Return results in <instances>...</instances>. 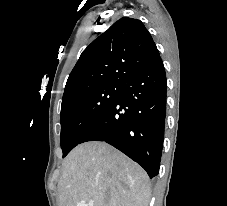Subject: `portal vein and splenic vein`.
Returning a JSON list of instances; mask_svg holds the SVG:
<instances>
[{
  "mask_svg": "<svg viewBox=\"0 0 227 206\" xmlns=\"http://www.w3.org/2000/svg\"><path fill=\"white\" fill-rule=\"evenodd\" d=\"M78 206H94V203L91 201V202H89L88 204H86V203H81V204H79Z\"/></svg>",
  "mask_w": 227,
  "mask_h": 206,
  "instance_id": "obj_1",
  "label": "portal vein and splenic vein"
}]
</instances>
